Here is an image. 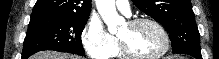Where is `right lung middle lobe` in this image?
Returning a JSON list of instances; mask_svg holds the SVG:
<instances>
[{"instance_id":"obj_1","label":"right lung middle lobe","mask_w":219,"mask_h":59,"mask_svg":"<svg viewBox=\"0 0 219 59\" xmlns=\"http://www.w3.org/2000/svg\"><path fill=\"white\" fill-rule=\"evenodd\" d=\"M89 16L31 14L22 59L43 50L84 55L80 35Z\"/></svg>"}]
</instances>
